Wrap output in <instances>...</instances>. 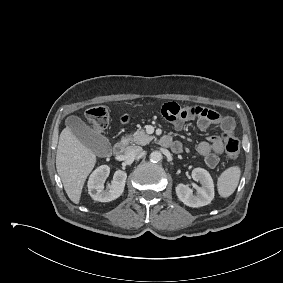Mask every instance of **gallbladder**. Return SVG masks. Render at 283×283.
I'll list each match as a JSON object with an SVG mask.
<instances>
[{"instance_id": "obj_1", "label": "gallbladder", "mask_w": 283, "mask_h": 283, "mask_svg": "<svg viewBox=\"0 0 283 283\" xmlns=\"http://www.w3.org/2000/svg\"><path fill=\"white\" fill-rule=\"evenodd\" d=\"M67 126L77 139L97 156H109L112 147L109 140L87 126L80 118L70 117Z\"/></svg>"}]
</instances>
